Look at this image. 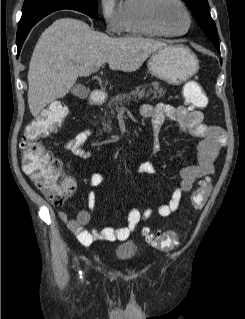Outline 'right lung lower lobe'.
I'll use <instances>...</instances> for the list:
<instances>
[{"label":"right lung lower lobe","instance_id":"obj_1","mask_svg":"<svg viewBox=\"0 0 245 319\" xmlns=\"http://www.w3.org/2000/svg\"><path fill=\"white\" fill-rule=\"evenodd\" d=\"M41 20V19H39ZM39 20H36L24 27H18V30H17V39H16V43H17V48H18V55L20 53V49L28 35V33L30 32L31 28L39 21Z\"/></svg>","mask_w":245,"mask_h":319}]
</instances>
